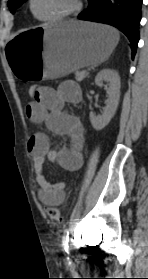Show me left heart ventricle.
Instances as JSON below:
<instances>
[{
    "label": "left heart ventricle",
    "mask_w": 148,
    "mask_h": 279,
    "mask_svg": "<svg viewBox=\"0 0 148 279\" xmlns=\"http://www.w3.org/2000/svg\"><path fill=\"white\" fill-rule=\"evenodd\" d=\"M73 0H34L33 8L40 17L57 15L70 8Z\"/></svg>",
    "instance_id": "1"
}]
</instances>
